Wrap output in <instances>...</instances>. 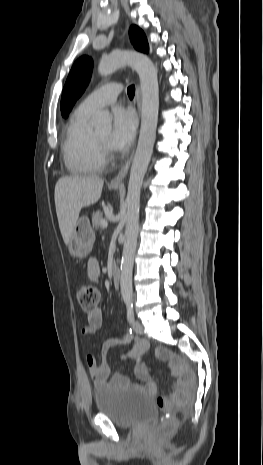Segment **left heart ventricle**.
Instances as JSON below:
<instances>
[{
	"instance_id": "left-heart-ventricle-1",
	"label": "left heart ventricle",
	"mask_w": 263,
	"mask_h": 465,
	"mask_svg": "<svg viewBox=\"0 0 263 465\" xmlns=\"http://www.w3.org/2000/svg\"><path fill=\"white\" fill-rule=\"evenodd\" d=\"M100 141L108 144V141H109V137H110V132L109 131H105L103 133H100L96 136Z\"/></svg>"
}]
</instances>
